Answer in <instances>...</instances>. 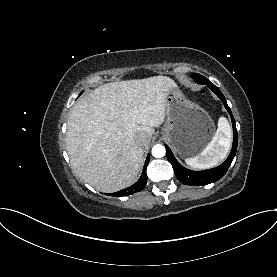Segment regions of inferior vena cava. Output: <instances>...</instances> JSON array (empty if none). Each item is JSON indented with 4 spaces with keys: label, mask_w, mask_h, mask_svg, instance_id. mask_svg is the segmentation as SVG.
Segmentation results:
<instances>
[{
    "label": "inferior vena cava",
    "mask_w": 277,
    "mask_h": 277,
    "mask_svg": "<svg viewBox=\"0 0 277 277\" xmlns=\"http://www.w3.org/2000/svg\"><path fill=\"white\" fill-rule=\"evenodd\" d=\"M135 141L141 146H145L149 142L147 135L143 132L135 136Z\"/></svg>",
    "instance_id": "obj_1"
}]
</instances>
